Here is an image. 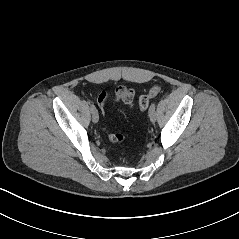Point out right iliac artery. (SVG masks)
Returning <instances> with one entry per match:
<instances>
[{
  "mask_svg": "<svg viewBox=\"0 0 239 239\" xmlns=\"http://www.w3.org/2000/svg\"><path fill=\"white\" fill-rule=\"evenodd\" d=\"M90 108H91V111L96 110V108H95V106H94V104L92 102L90 103Z\"/></svg>",
  "mask_w": 239,
  "mask_h": 239,
  "instance_id": "obj_1",
  "label": "right iliac artery"
}]
</instances>
